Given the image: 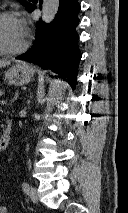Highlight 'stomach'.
I'll return each instance as SVG.
<instances>
[{
  "instance_id": "obj_1",
  "label": "stomach",
  "mask_w": 128,
  "mask_h": 213,
  "mask_svg": "<svg viewBox=\"0 0 128 213\" xmlns=\"http://www.w3.org/2000/svg\"><path fill=\"white\" fill-rule=\"evenodd\" d=\"M34 70L25 63H17L4 73L5 79L11 85H23L31 81Z\"/></svg>"
}]
</instances>
